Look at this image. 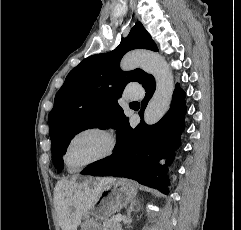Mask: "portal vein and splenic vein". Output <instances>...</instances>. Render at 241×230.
Returning <instances> with one entry per match:
<instances>
[{
	"label": "portal vein and splenic vein",
	"mask_w": 241,
	"mask_h": 230,
	"mask_svg": "<svg viewBox=\"0 0 241 230\" xmlns=\"http://www.w3.org/2000/svg\"><path fill=\"white\" fill-rule=\"evenodd\" d=\"M116 220H117V221H122V220H123V217H122L121 215H117V216H116Z\"/></svg>",
	"instance_id": "obj_1"
}]
</instances>
